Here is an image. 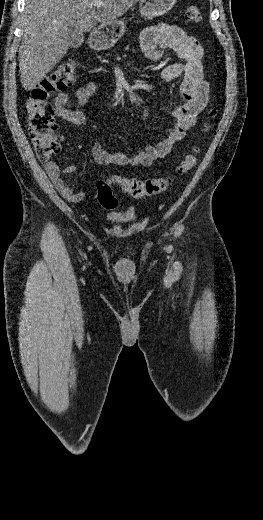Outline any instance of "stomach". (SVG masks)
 I'll use <instances>...</instances> for the list:
<instances>
[{
	"mask_svg": "<svg viewBox=\"0 0 263 520\" xmlns=\"http://www.w3.org/2000/svg\"><path fill=\"white\" fill-rule=\"evenodd\" d=\"M177 0H140V14L147 19L159 17L173 8ZM125 23L114 20L93 29L89 44L94 50H107L124 35Z\"/></svg>",
	"mask_w": 263,
	"mask_h": 520,
	"instance_id": "0dacf381",
	"label": "stomach"
}]
</instances>
